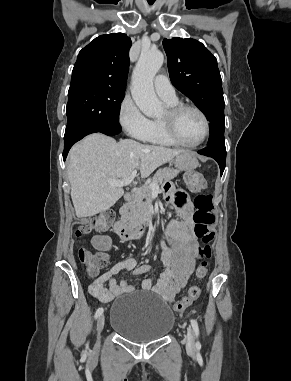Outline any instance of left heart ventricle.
I'll return each mask as SVG.
<instances>
[{
	"label": "left heart ventricle",
	"mask_w": 291,
	"mask_h": 381,
	"mask_svg": "<svg viewBox=\"0 0 291 381\" xmlns=\"http://www.w3.org/2000/svg\"><path fill=\"white\" fill-rule=\"evenodd\" d=\"M165 113L161 117H163ZM176 130L183 141L187 143H195L201 139L204 133L203 119L197 112L186 110L178 117L176 121Z\"/></svg>",
	"instance_id": "left-heart-ventricle-1"
}]
</instances>
